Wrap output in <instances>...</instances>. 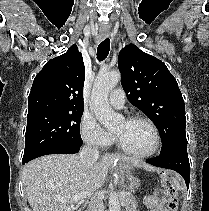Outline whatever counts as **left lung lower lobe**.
Here are the masks:
<instances>
[{"label":"left lung lower lobe","mask_w":209,"mask_h":211,"mask_svg":"<svg viewBox=\"0 0 209 211\" xmlns=\"http://www.w3.org/2000/svg\"><path fill=\"white\" fill-rule=\"evenodd\" d=\"M151 165L171 169L178 172L185 180L187 188L190 181V164L187 154V145H181L166 154L146 160Z\"/></svg>","instance_id":"1"}]
</instances>
